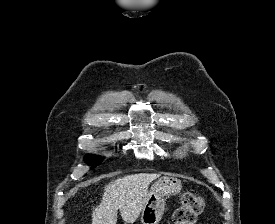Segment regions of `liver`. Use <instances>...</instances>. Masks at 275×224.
I'll list each match as a JSON object with an SVG mask.
<instances>
[{"mask_svg": "<svg viewBox=\"0 0 275 224\" xmlns=\"http://www.w3.org/2000/svg\"><path fill=\"white\" fill-rule=\"evenodd\" d=\"M157 177L159 174L139 173L111 181L92 212V224H116L118 210L126 223H134L146 204L148 187Z\"/></svg>", "mask_w": 275, "mask_h": 224, "instance_id": "liver-1", "label": "liver"}]
</instances>
